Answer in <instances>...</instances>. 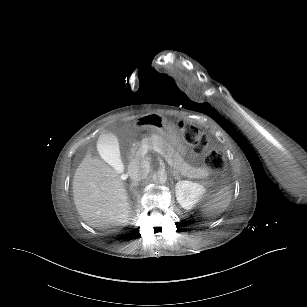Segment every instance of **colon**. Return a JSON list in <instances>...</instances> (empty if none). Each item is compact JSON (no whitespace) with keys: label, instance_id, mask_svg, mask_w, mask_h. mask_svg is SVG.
Instances as JSON below:
<instances>
[{"label":"colon","instance_id":"colon-1","mask_svg":"<svg viewBox=\"0 0 307 307\" xmlns=\"http://www.w3.org/2000/svg\"><path fill=\"white\" fill-rule=\"evenodd\" d=\"M176 125L182 130L184 140L204 153V162L208 167L217 172L223 170L225 162L222 152L217 148L208 149L206 137L200 134L197 127L184 122H177Z\"/></svg>","mask_w":307,"mask_h":307}]
</instances>
